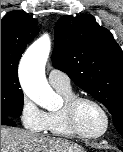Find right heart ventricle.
<instances>
[{"mask_svg": "<svg viewBox=\"0 0 123 152\" xmlns=\"http://www.w3.org/2000/svg\"><path fill=\"white\" fill-rule=\"evenodd\" d=\"M56 90L63 97L66 102L68 99L75 96L72 89H58ZM49 135L63 137V138H76L77 136L70 129L65 116L64 106L58 110L50 111L47 113V126L46 130Z\"/></svg>", "mask_w": 123, "mask_h": 152, "instance_id": "obj_1", "label": "right heart ventricle"}]
</instances>
